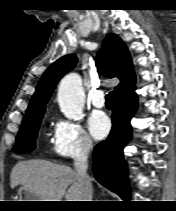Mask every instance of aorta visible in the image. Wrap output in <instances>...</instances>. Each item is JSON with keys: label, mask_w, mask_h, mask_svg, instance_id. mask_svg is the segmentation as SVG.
I'll use <instances>...</instances> for the list:
<instances>
[{"label": "aorta", "mask_w": 176, "mask_h": 211, "mask_svg": "<svg viewBox=\"0 0 176 211\" xmlns=\"http://www.w3.org/2000/svg\"><path fill=\"white\" fill-rule=\"evenodd\" d=\"M57 98L61 111L68 119H80L84 103L81 77L76 73L65 76L60 82Z\"/></svg>", "instance_id": "obj_1"}]
</instances>
